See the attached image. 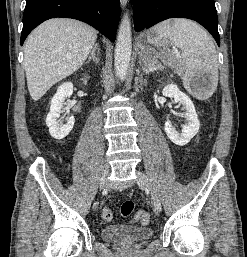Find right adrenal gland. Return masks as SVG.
Masks as SVG:
<instances>
[{
    "mask_svg": "<svg viewBox=\"0 0 247 257\" xmlns=\"http://www.w3.org/2000/svg\"><path fill=\"white\" fill-rule=\"evenodd\" d=\"M99 51L98 44L96 43L91 51L90 56L88 57L86 63H89L93 60L96 64H99V58L96 57V52Z\"/></svg>",
    "mask_w": 247,
    "mask_h": 257,
    "instance_id": "obj_1",
    "label": "right adrenal gland"
}]
</instances>
